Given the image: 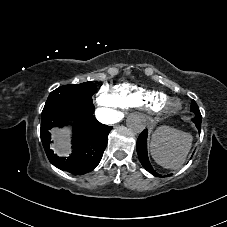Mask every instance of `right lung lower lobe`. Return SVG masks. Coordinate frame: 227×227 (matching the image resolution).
I'll return each mask as SVG.
<instances>
[{"mask_svg": "<svg viewBox=\"0 0 227 227\" xmlns=\"http://www.w3.org/2000/svg\"><path fill=\"white\" fill-rule=\"evenodd\" d=\"M92 103L65 102L42 114L40 136L49 161L57 168L77 175L92 171L100 162L112 127L97 121ZM73 120V152L58 157L50 149L53 127H63Z\"/></svg>", "mask_w": 227, "mask_h": 227, "instance_id": "obj_1", "label": "right lung lower lobe"}]
</instances>
